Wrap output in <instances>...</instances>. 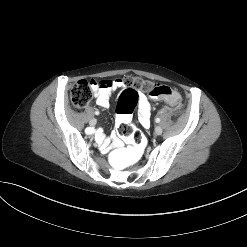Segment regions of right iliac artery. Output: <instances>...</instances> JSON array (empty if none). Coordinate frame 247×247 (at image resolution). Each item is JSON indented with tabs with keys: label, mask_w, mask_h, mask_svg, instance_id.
<instances>
[{
	"label": "right iliac artery",
	"mask_w": 247,
	"mask_h": 247,
	"mask_svg": "<svg viewBox=\"0 0 247 247\" xmlns=\"http://www.w3.org/2000/svg\"><path fill=\"white\" fill-rule=\"evenodd\" d=\"M95 114H99V112H98V111H96V112H95Z\"/></svg>",
	"instance_id": "1"
}]
</instances>
